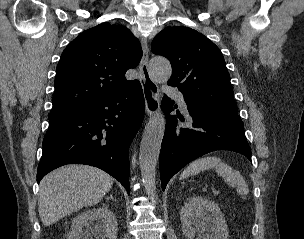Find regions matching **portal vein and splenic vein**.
<instances>
[{"mask_svg":"<svg viewBox=\"0 0 304 239\" xmlns=\"http://www.w3.org/2000/svg\"><path fill=\"white\" fill-rule=\"evenodd\" d=\"M213 193L216 195V194H219V190H213Z\"/></svg>","mask_w":304,"mask_h":239,"instance_id":"portal-vein-and-splenic-vein-1","label":"portal vein and splenic vein"}]
</instances>
